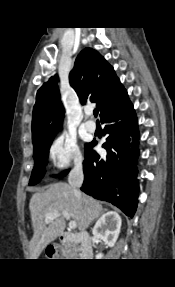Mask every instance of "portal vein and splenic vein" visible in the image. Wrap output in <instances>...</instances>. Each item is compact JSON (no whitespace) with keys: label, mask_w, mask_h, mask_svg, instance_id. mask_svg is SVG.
<instances>
[{"label":"portal vein and splenic vein","mask_w":175,"mask_h":287,"mask_svg":"<svg viewBox=\"0 0 175 287\" xmlns=\"http://www.w3.org/2000/svg\"><path fill=\"white\" fill-rule=\"evenodd\" d=\"M62 215L64 218H66L67 220H70V215L68 212H62V213H59V212H56V211H53V212H50L48 213L46 216H45V222L48 223L50 222V220L58 217ZM77 227V223L73 220H70L69 222V228L70 229H75Z\"/></svg>","instance_id":"18ae733b"}]
</instances>
